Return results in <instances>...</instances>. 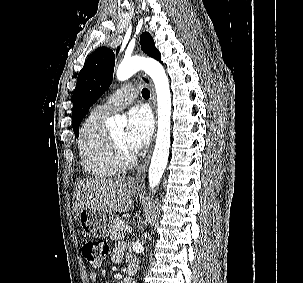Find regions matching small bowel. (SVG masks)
I'll return each instance as SVG.
<instances>
[{
    "mask_svg": "<svg viewBox=\"0 0 303 283\" xmlns=\"http://www.w3.org/2000/svg\"><path fill=\"white\" fill-rule=\"evenodd\" d=\"M123 256H124V245L118 244L114 248V250L112 252V255H111V258H112L113 261L119 262L123 259ZM89 279H90L91 282L95 283L98 279L97 273H95V272L90 273ZM118 283H129V280L125 279V280L120 281Z\"/></svg>",
    "mask_w": 303,
    "mask_h": 283,
    "instance_id": "c3829d8e",
    "label": "small bowel"
}]
</instances>
